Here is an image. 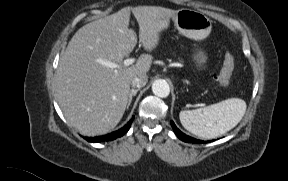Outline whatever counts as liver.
Segmentation results:
<instances>
[{"mask_svg":"<svg viewBox=\"0 0 288 181\" xmlns=\"http://www.w3.org/2000/svg\"><path fill=\"white\" fill-rule=\"evenodd\" d=\"M131 12L146 51L159 43L163 30L160 18L177 13L155 6L122 8L81 27L60 57L56 98L67 122L82 135H101L115 128L125 112L133 78L151 68L149 54L140 55L130 67L123 64L137 44V35L129 28ZM107 62L117 68L108 67Z\"/></svg>","mask_w":288,"mask_h":181,"instance_id":"1","label":"liver"}]
</instances>
